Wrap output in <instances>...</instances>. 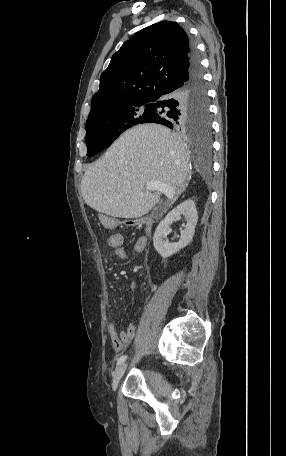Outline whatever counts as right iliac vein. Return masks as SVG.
<instances>
[{"instance_id":"right-iliac-vein-1","label":"right iliac vein","mask_w":286,"mask_h":456,"mask_svg":"<svg viewBox=\"0 0 286 456\" xmlns=\"http://www.w3.org/2000/svg\"><path fill=\"white\" fill-rule=\"evenodd\" d=\"M127 369V363L121 364L115 371L114 376H113V381H112V388L115 391L118 387V384L123 377L125 371Z\"/></svg>"}]
</instances>
